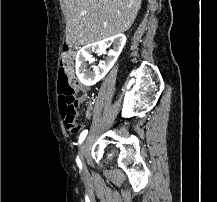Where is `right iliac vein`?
I'll return each mask as SVG.
<instances>
[{"mask_svg":"<svg viewBox=\"0 0 217 202\" xmlns=\"http://www.w3.org/2000/svg\"><path fill=\"white\" fill-rule=\"evenodd\" d=\"M85 152H86V141L82 142L79 148V152H78V158L81 164H82V161L84 160Z\"/></svg>","mask_w":217,"mask_h":202,"instance_id":"obj_1","label":"right iliac vein"}]
</instances>
